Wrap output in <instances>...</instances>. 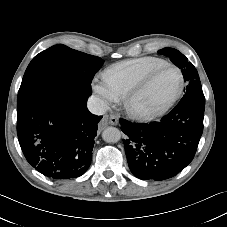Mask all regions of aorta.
Segmentation results:
<instances>
[{
  "label": "aorta",
  "instance_id": "aorta-1",
  "mask_svg": "<svg viewBox=\"0 0 227 227\" xmlns=\"http://www.w3.org/2000/svg\"><path fill=\"white\" fill-rule=\"evenodd\" d=\"M102 138L107 143H117L121 139V131L116 127H107L102 132Z\"/></svg>",
  "mask_w": 227,
  "mask_h": 227
}]
</instances>
